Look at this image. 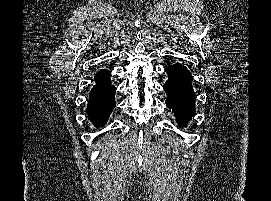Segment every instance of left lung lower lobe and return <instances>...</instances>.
Instances as JSON below:
<instances>
[{
    "instance_id": "0a47b994",
    "label": "left lung lower lobe",
    "mask_w": 271,
    "mask_h": 201,
    "mask_svg": "<svg viewBox=\"0 0 271 201\" xmlns=\"http://www.w3.org/2000/svg\"><path fill=\"white\" fill-rule=\"evenodd\" d=\"M168 80L163 86L167 93L166 105L175 114L180 126H185L195 112V93L191 85V73L181 64L166 70Z\"/></svg>"
}]
</instances>
